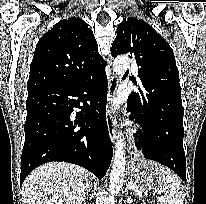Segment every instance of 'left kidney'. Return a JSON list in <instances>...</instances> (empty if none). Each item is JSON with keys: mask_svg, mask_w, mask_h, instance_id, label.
<instances>
[{"mask_svg": "<svg viewBox=\"0 0 206 204\" xmlns=\"http://www.w3.org/2000/svg\"><path fill=\"white\" fill-rule=\"evenodd\" d=\"M126 201H127L128 204H131V203H132V199H131V198H127Z\"/></svg>", "mask_w": 206, "mask_h": 204, "instance_id": "1", "label": "left kidney"}]
</instances>
